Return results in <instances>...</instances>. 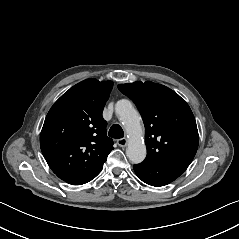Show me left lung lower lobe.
<instances>
[{"mask_svg":"<svg viewBox=\"0 0 239 239\" xmlns=\"http://www.w3.org/2000/svg\"><path fill=\"white\" fill-rule=\"evenodd\" d=\"M188 165L145 163L133 166L136 175L146 184L164 186L178 178Z\"/></svg>","mask_w":239,"mask_h":239,"instance_id":"1","label":"left lung lower lobe"}]
</instances>
